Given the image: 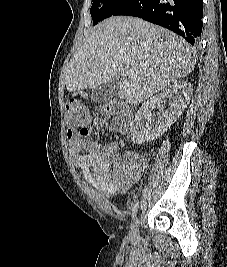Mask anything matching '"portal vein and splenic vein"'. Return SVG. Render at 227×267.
<instances>
[{
  "instance_id": "18ae733b",
  "label": "portal vein and splenic vein",
  "mask_w": 227,
  "mask_h": 267,
  "mask_svg": "<svg viewBox=\"0 0 227 267\" xmlns=\"http://www.w3.org/2000/svg\"><path fill=\"white\" fill-rule=\"evenodd\" d=\"M124 75L130 78H136V74L134 73L133 70H130V69H126L124 71Z\"/></svg>"
}]
</instances>
